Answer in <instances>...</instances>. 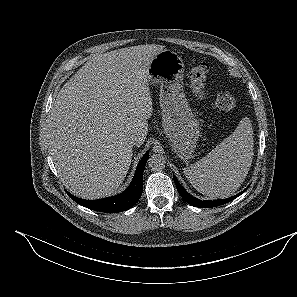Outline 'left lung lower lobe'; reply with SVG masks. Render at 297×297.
Masks as SVG:
<instances>
[{"instance_id": "1", "label": "left lung lower lobe", "mask_w": 297, "mask_h": 297, "mask_svg": "<svg viewBox=\"0 0 297 297\" xmlns=\"http://www.w3.org/2000/svg\"><path fill=\"white\" fill-rule=\"evenodd\" d=\"M174 178V182L175 185L177 187L178 192L180 193L181 197L190 205L195 206V207H200V208H211V207H216V206H220L223 205L227 202H230L232 200H234L235 198H237L238 196H240L242 193H244L246 191V189L240 193H238L237 195H234L232 197L226 198V199H219V200H209V201H202L199 200L193 196H191L182 186L181 184L178 182L177 178L173 175Z\"/></svg>"}]
</instances>
